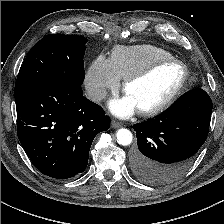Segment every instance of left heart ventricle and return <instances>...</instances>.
<instances>
[{
  "label": "left heart ventricle",
  "mask_w": 224,
  "mask_h": 224,
  "mask_svg": "<svg viewBox=\"0 0 224 224\" xmlns=\"http://www.w3.org/2000/svg\"><path fill=\"white\" fill-rule=\"evenodd\" d=\"M182 76L183 70L178 64L162 66L145 79L132 83L126 95L137 110L149 109L164 101L176 89Z\"/></svg>",
  "instance_id": "obj_1"
}]
</instances>
